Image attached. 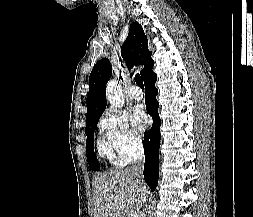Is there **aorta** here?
<instances>
[{
	"label": "aorta",
	"instance_id": "obj_1",
	"mask_svg": "<svg viewBox=\"0 0 253 217\" xmlns=\"http://www.w3.org/2000/svg\"><path fill=\"white\" fill-rule=\"evenodd\" d=\"M106 96L108 102L116 107L122 108L124 106V95L122 86L116 80H110L106 87Z\"/></svg>",
	"mask_w": 253,
	"mask_h": 217
}]
</instances>
